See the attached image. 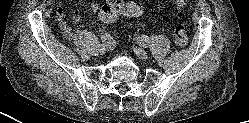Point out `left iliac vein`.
I'll return each instance as SVG.
<instances>
[{
  "label": "left iliac vein",
  "instance_id": "4c4485c4",
  "mask_svg": "<svg viewBox=\"0 0 249 123\" xmlns=\"http://www.w3.org/2000/svg\"><path fill=\"white\" fill-rule=\"evenodd\" d=\"M134 52L136 53V55L140 59H142V60L148 59V54H147V52L144 49L136 47V48H134Z\"/></svg>",
  "mask_w": 249,
  "mask_h": 123
}]
</instances>
